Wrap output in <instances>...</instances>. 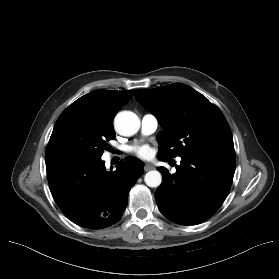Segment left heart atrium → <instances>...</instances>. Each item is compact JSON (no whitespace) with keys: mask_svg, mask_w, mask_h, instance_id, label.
<instances>
[{"mask_svg":"<svg viewBox=\"0 0 279 279\" xmlns=\"http://www.w3.org/2000/svg\"><path fill=\"white\" fill-rule=\"evenodd\" d=\"M131 151L142 159H148L152 155L151 148L148 145H137L131 148Z\"/></svg>","mask_w":279,"mask_h":279,"instance_id":"1","label":"left heart atrium"}]
</instances>
